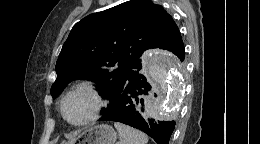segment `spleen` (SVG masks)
I'll return each mask as SVG.
<instances>
[{
    "label": "spleen",
    "mask_w": 260,
    "mask_h": 144,
    "mask_svg": "<svg viewBox=\"0 0 260 144\" xmlns=\"http://www.w3.org/2000/svg\"><path fill=\"white\" fill-rule=\"evenodd\" d=\"M114 126L117 129L120 136L119 144H147L148 143V137L143 132L119 122H115Z\"/></svg>",
    "instance_id": "3e777b00"
}]
</instances>
